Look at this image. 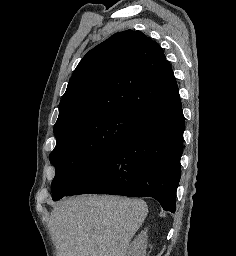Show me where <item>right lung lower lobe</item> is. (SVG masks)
Wrapping results in <instances>:
<instances>
[{"label":"right lung lower lobe","mask_w":236,"mask_h":256,"mask_svg":"<svg viewBox=\"0 0 236 256\" xmlns=\"http://www.w3.org/2000/svg\"><path fill=\"white\" fill-rule=\"evenodd\" d=\"M184 116L180 96L145 117L65 196L96 193L153 197L175 212Z\"/></svg>","instance_id":"obj_1"}]
</instances>
